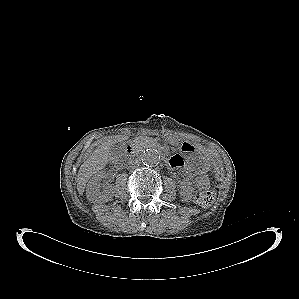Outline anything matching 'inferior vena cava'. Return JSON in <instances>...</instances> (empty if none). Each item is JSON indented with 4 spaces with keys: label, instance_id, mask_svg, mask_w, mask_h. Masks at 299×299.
<instances>
[{
    "label": "inferior vena cava",
    "instance_id": "1",
    "mask_svg": "<svg viewBox=\"0 0 299 299\" xmlns=\"http://www.w3.org/2000/svg\"><path fill=\"white\" fill-rule=\"evenodd\" d=\"M137 166H139V162H138V161H133V162H131V167H132V168H135V167H137Z\"/></svg>",
    "mask_w": 299,
    "mask_h": 299
}]
</instances>
